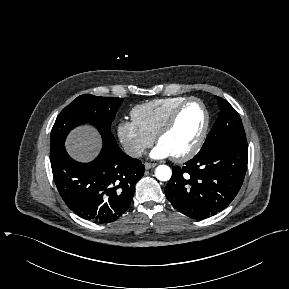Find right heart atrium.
I'll list each match as a JSON object with an SVG mask.
<instances>
[{
	"mask_svg": "<svg viewBox=\"0 0 289 289\" xmlns=\"http://www.w3.org/2000/svg\"><path fill=\"white\" fill-rule=\"evenodd\" d=\"M117 136L126 153L133 158L140 157L154 141V137L133 120L121 121L117 126Z\"/></svg>",
	"mask_w": 289,
	"mask_h": 289,
	"instance_id": "d8ad5b80",
	"label": "right heart atrium"
}]
</instances>
